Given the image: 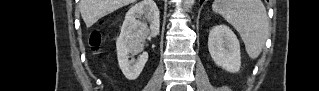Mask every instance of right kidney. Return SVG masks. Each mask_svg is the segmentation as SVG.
<instances>
[{
    "mask_svg": "<svg viewBox=\"0 0 319 91\" xmlns=\"http://www.w3.org/2000/svg\"><path fill=\"white\" fill-rule=\"evenodd\" d=\"M159 26V9L154 0H142L126 13L116 40V50L120 69L127 79H137L148 60L147 52H143L137 60H129V55L142 52L145 39L148 35L156 37L159 34Z\"/></svg>",
    "mask_w": 319,
    "mask_h": 91,
    "instance_id": "obj_1",
    "label": "right kidney"
}]
</instances>
